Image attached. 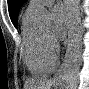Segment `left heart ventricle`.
Wrapping results in <instances>:
<instances>
[{
    "instance_id": "b2bd125f",
    "label": "left heart ventricle",
    "mask_w": 89,
    "mask_h": 89,
    "mask_svg": "<svg viewBox=\"0 0 89 89\" xmlns=\"http://www.w3.org/2000/svg\"><path fill=\"white\" fill-rule=\"evenodd\" d=\"M42 32L49 35V33H50V28H49V27L44 28V29L42 30Z\"/></svg>"
}]
</instances>
